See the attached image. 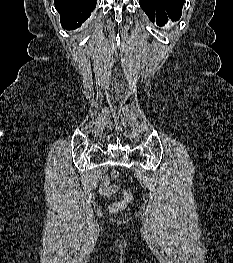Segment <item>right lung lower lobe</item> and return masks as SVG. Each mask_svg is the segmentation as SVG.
<instances>
[{
    "mask_svg": "<svg viewBox=\"0 0 233 263\" xmlns=\"http://www.w3.org/2000/svg\"><path fill=\"white\" fill-rule=\"evenodd\" d=\"M54 3L66 30L81 26L96 6V0H54Z\"/></svg>",
    "mask_w": 233,
    "mask_h": 263,
    "instance_id": "98d812e1",
    "label": "right lung lower lobe"
}]
</instances>
